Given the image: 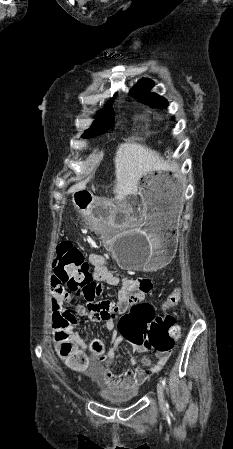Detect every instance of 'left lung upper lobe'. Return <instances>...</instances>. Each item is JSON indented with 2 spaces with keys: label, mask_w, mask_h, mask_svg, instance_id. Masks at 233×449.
I'll return each mask as SVG.
<instances>
[{
  "label": "left lung upper lobe",
  "mask_w": 233,
  "mask_h": 449,
  "mask_svg": "<svg viewBox=\"0 0 233 449\" xmlns=\"http://www.w3.org/2000/svg\"><path fill=\"white\" fill-rule=\"evenodd\" d=\"M153 86V81L142 78L130 91V95L152 108H167L168 103L164 97H161L155 93H150Z\"/></svg>",
  "instance_id": "5c2ea615"
}]
</instances>
